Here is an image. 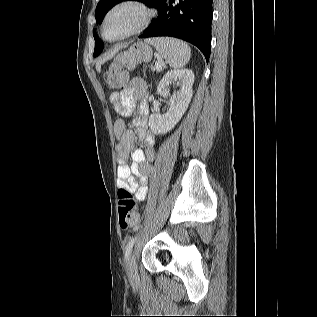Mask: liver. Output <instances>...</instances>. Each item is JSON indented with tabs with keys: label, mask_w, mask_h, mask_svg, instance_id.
Returning <instances> with one entry per match:
<instances>
[{
	"label": "liver",
	"mask_w": 317,
	"mask_h": 317,
	"mask_svg": "<svg viewBox=\"0 0 317 317\" xmlns=\"http://www.w3.org/2000/svg\"><path fill=\"white\" fill-rule=\"evenodd\" d=\"M122 48V45L116 46L112 51L107 53L103 58L99 59L96 63V70L98 72L101 71V65L105 63L108 59H111L114 57V55Z\"/></svg>",
	"instance_id": "6515ba94"
}]
</instances>
